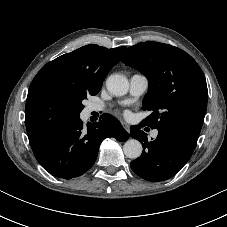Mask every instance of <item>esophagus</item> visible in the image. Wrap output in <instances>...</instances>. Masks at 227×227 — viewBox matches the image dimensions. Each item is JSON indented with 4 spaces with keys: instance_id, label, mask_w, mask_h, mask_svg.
Here are the masks:
<instances>
[{
    "instance_id": "34e87169",
    "label": "esophagus",
    "mask_w": 227,
    "mask_h": 227,
    "mask_svg": "<svg viewBox=\"0 0 227 227\" xmlns=\"http://www.w3.org/2000/svg\"><path fill=\"white\" fill-rule=\"evenodd\" d=\"M121 124H122L123 128L129 133L130 132L129 125L126 122H123V121L121 122Z\"/></svg>"
}]
</instances>
